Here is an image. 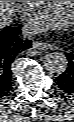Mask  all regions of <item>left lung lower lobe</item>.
<instances>
[{"mask_svg":"<svg viewBox=\"0 0 74 122\" xmlns=\"http://www.w3.org/2000/svg\"><path fill=\"white\" fill-rule=\"evenodd\" d=\"M68 67L56 78L58 90L62 95L74 96V50L67 54Z\"/></svg>","mask_w":74,"mask_h":122,"instance_id":"1","label":"left lung lower lobe"}]
</instances>
